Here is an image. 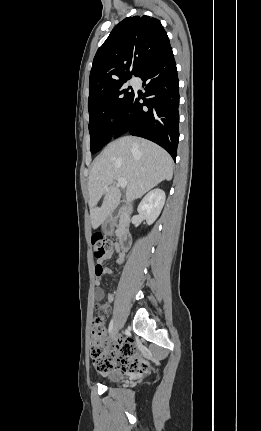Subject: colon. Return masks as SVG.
Masks as SVG:
<instances>
[{
    "instance_id": "colon-1",
    "label": "colon",
    "mask_w": 261,
    "mask_h": 431,
    "mask_svg": "<svg viewBox=\"0 0 261 431\" xmlns=\"http://www.w3.org/2000/svg\"><path fill=\"white\" fill-rule=\"evenodd\" d=\"M94 256L98 260L105 258L112 250V242L100 234L92 237ZM96 274L102 271V265H96ZM91 358L98 371L109 372L118 370L130 373H146L149 365L140 361L135 354L133 344L126 339L108 344L105 339L104 320L97 316L92 322Z\"/></svg>"
}]
</instances>
